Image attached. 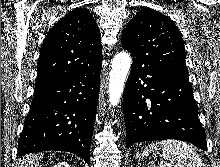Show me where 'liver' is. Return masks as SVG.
<instances>
[{
	"label": "liver",
	"mask_w": 220,
	"mask_h": 167,
	"mask_svg": "<svg viewBox=\"0 0 220 167\" xmlns=\"http://www.w3.org/2000/svg\"><path fill=\"white\" fill-rule=\"evenodd\" d=\"M41 155L32 154L20 160L18 167H38Z\"/></svg>",
	"instance_id": "obj_1"
}]
</instances>
